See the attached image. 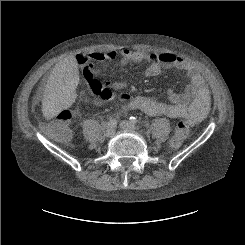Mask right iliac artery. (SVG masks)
<instances>
[{
  "instance_id": "82829eb1",
  "label": "right iliac artery",
  "mask_w": 245,
  "mask_h": 245,
  "mask_svg": "<svg viewBox=\"0 0 245 245\" xmlns=\"http://www.w3.org/2000/svg\"><path fill=\"white\" fill-rule=\"evenodd\" d=\"M108 125L112 128V127H116L117 125V121L115 119H112L108 122Z\"/></svg>"
}]
</instances>
